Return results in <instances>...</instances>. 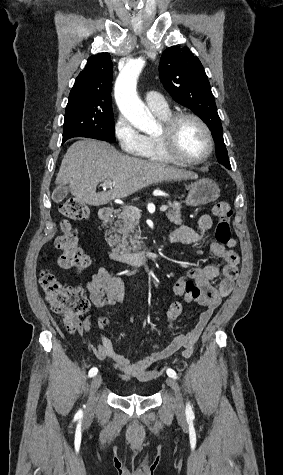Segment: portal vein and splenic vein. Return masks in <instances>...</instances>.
Here are the masks:
<instances>
[{
    "instance_id": "portal-vein-and-splenic-vein-1",
    "label": "portal vein and splenic vein",
    "mask_w": 283,
    "mask_h": 475,
    "mask_svg": "<svg viewBox=\"0 0 283 475\" xmlns=\"http://www.w3.org/2000/svg\"><path fill=\"white\" fill-rule=\"evenodd\" d=\"M115 182H111V180H104L103 186L104 188H113ZM168 206H161L160 212H166ZM136 214H140V210L138 208H135Z\"/></svg>"
}]
</instances>
